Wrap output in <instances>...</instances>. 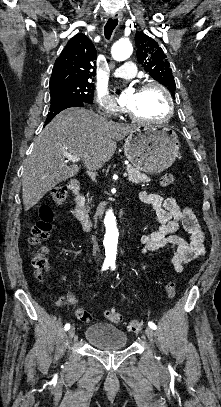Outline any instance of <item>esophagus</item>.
Returning a JSON list of instances; mask_svg holds the SVG:
<instances>
[{
  "label": "esophagus",
  "mask_w": 221,
  "mask_h": 407,
  "mask_svg": "<svg viewBox=\"0 0 221 407\" xmlns=\"http://www.w3.org/2000/svg\"><path fill=\"white\" fill-rule=\"evenodd\" d=\"M112 18L113 19H118L119 21H122V14L121 13H114L113 15H112Z\"/></svg>",
  "instance_id": "1"
}]
</instances>
